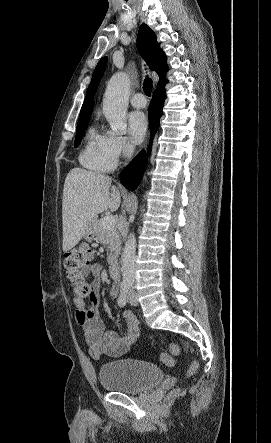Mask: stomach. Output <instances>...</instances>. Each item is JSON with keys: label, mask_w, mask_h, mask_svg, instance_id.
I'll return each mask as SVG.
<instances>
[{"label": "stomach", "mask_w": 271, "mask_h": 443, "mask_svg": "<svg viewBox=\"0 0 271 443\" xmlns=\"http://www.w3.org/2000/svg\"><path fill=\"white\" fill-rule=\"evenodd\" d=\"M96 231L94 227V222H91L89 227L86 229V233H84V239L86 241H92V239H95Z\"/></svg>", "instance_id": "0dacf381"}]
</instances>
